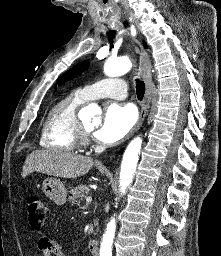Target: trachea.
Wrapping results in <instances>:
<instances>
[{"label":"trachea","mask_w":221,"mask_h":256,"mask_svg":"<svg viewBox=\"0 0 221 256\" xmlns=\"http://www.w3.org/2000/svg\"><path fill=\"white\" fill-rule=\"evenodd\" d=\"M136 93H137V98L139 100H142L145 93V84L143 81L139 79H136Z\"/></svg>","instance_id":"1"}]
</instances>
